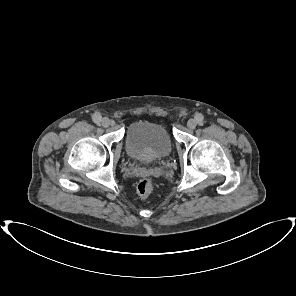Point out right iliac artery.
I'll use <instances>...</instances> for the list:
<instances>
[{
	"instance_id": "1",
	"label": "right iliac artery",
	"mask_w": 296,
	"mask_h": 296,
	"mask_svg": "<svg viewBox=\"0 0 296 296\" xmlns=\"http://www.w3.org/2000/svg\"><path fill=\"white\" fill-rule=\"evenodd\" d=\"M93 121L97 124H99L101 122V116L100 115H95L93 117Z\"/></svg>"
}]
</instances>
